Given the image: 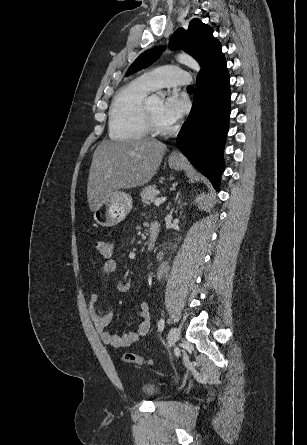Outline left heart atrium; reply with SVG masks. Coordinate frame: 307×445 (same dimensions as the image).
I'll use <instances>...</instances> for the list:
<instances>
[{"instance_id":"obj_1","label":"left heart atrium","mask_w":307,"mask_h":445,"mask_svg":"<svg viewBox=\"0 0 307 445\" xmlns=\"http://www.w3.org/2000/svg\"><path fill=\"white\" fill-rule=\"evenodd\" d=\"M185 111V103L179 94L175 91L169 92L162 105V118L169 124H174L178 119L182 117Z\"/></svg>"}]
</instances>
